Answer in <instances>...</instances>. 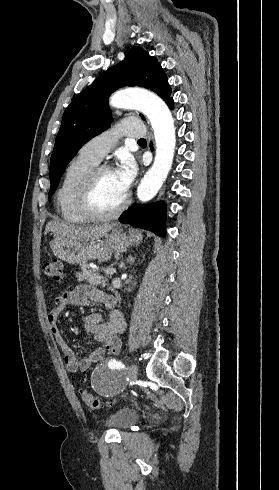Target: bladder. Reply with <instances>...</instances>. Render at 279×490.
<instances>
[{"mask_svg":"<svg viewBox=\"0 0 279 490\" xmlns=\"http://www.w3.org/2000/svg\"><path fill=\"white\" fill-rule=\"evenodd\" d=\"M139 413L135 408L126 407L112 414L106 419L105 426L112 427L116 431H122L137 422Z\"/></svg>","mask_w":279,"mask_h":490,"instance_id":"1","label":"bladder"}]
</instances>
